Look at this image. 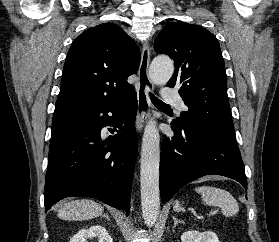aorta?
Here are the masks:
<instances>
[{"label":"aorta","mask_w":279,"mask_h":242,"mask_svg":"<svg viewBox=\"0 0 279 242\" xmlns=\"http://www.w3.org/2000/svg\"><path fill=\"white\" fill-rule=\"evenodd\" d=\"M174 73L173 61L167 56H157L149 69L151 81L156 85L166 84ZM141 205L144 223L153 226L159 216V164L160 135L155 120L147 123L142 139L140 159Z\"/></svg>","instance_id":"obj_1"}]
</instances>
